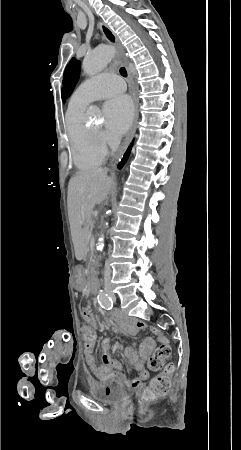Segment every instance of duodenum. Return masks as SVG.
Listing matches in <instances>:
<instances>
[{
  "label": "duodenum",
  "mask_w": 241,
  "mask_h": 450,
  "mask_svg": "<svg viewBox=\"0 0 241 450\" xmlns=\"http://www.w3.org/2000/svg\"><path fill=\"white\" fill-rule=\"evenodd\" d=\"M99 288V280L95 274L94 267H90V289L95 292Z\"/></svg>",
  "instance_id": "1"
}]
</instances>
